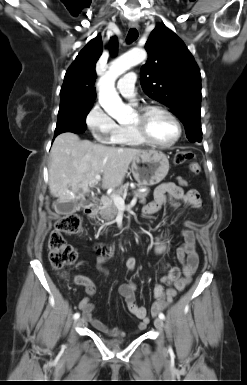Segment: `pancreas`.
Returning a JSON list of instances; mask_svg holds the SVG:
<instances>
[{
  "label": "pancreas",
  "instance_id": "1",
  "mask_svg": "<svg viewBox=\"0 0 247 385\" xmlns=\"http://www.w3.org/2000/svg\"><path fill=\"white\" fill-rule=\"evenodd\" d=\"M139 188H143V186H139ZM128 185L122 186L120 189L116 190L113 194L124 197L125 191H127ZM133 194L139 198V202L144 204L146 202V197L149 194L148 190L145 191H133ZM101 208L99 215L105 221H112L116 215L118 214L117 206L114 204L112 198L105 197L101 200Z\"/></svg>",
  "mask_w": 247,
  "mask_h": 385
}]
</instances>
